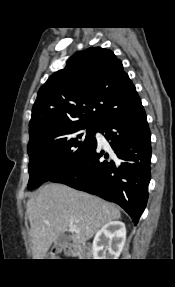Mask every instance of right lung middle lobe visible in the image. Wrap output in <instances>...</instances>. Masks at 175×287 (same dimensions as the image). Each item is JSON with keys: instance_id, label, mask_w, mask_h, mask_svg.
I'll use <instances>...</instances> for the list:
<instances>
[{"instance_id": "right-lung-middle-lobe-1", "label": "right lung middle lobe", "mask_w": 175, "mask_h": 287, "mask_svg": "<svg viewBox=\"0 0 175 287\" xmlns=\"http://www.w3.org/2000/svg\"><path fill=\"white\" fill-rule=\"evenodd\" d=\"M99 126H79L28 144L30 156L28 189H35L71 170L96 146Z\"/></svg>"}]
</instances>
